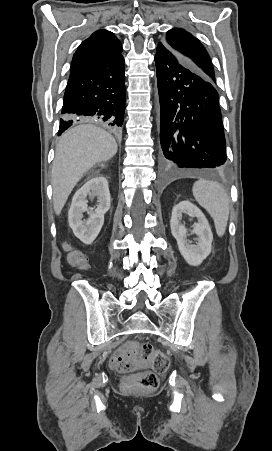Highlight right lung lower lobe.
<instances>
[{"label":"right lung lower lobe","mask_w":272,"mask_h":451,"mask_svg":"<svg viewBox=\"0 0 272 451\" xmlns=\"http://www.w3.org/2000/svg\"><path fill=\"white\" fill-rule=\"evenodd\" d=\"M125 92L124 58L121 54L71 71L58 135L78 122H98L119 133L124 121Z\"/></svg>","instance_id":"obj_1"}]
</instances>
